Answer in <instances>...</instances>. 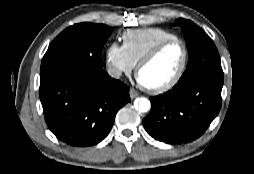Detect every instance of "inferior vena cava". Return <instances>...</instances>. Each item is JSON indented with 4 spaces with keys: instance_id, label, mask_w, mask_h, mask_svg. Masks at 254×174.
<instances>
[{
    "instance_id": "602c4592",
    "label": "inferior vena cava",
    "mask_w": 254,
    "mask_h": 174,
    "mask_svg": "<svg viewBox=\"0 0 254 174\" xmlns=\"http://www.w3.org/2000/svg\"><path fill=\"white\" fill-rule=\"evenodd\" d=\"M108 74H109L111 77L118 79V78H120L122 72H121V70H119V69H117V68H109V69H108Z\"/></svg>"
}]
</instances>
